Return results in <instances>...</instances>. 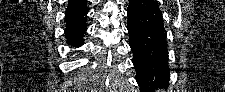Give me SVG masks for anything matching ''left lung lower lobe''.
<instances>
[{
	"label": "left lung lower lobe",
	"mask_w": 225,
	"mask_h": 92,
	"mask_svg": "<svg viewBox=\"0 0 225 92\" xmlns=\"http://www.w3.org/2000/svg\"><path fill=\"white\" fill-rule=\"evenodd\" d=\"M129 45L133 52L136 81L142 92L167 85V33L162 13L154 0H129L127 10Z\"/></svg>",
	"instance_id": "1"
}]
</instances>
